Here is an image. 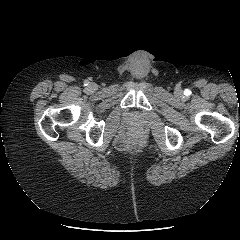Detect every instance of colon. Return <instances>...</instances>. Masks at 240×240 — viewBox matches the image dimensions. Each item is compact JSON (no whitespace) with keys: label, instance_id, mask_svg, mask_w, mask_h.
I'll use <instances>...</instances> for the list:
<instances>
[{"label":"colon","instance_id":"obj_1","mask_svg":"<svg viewBox=\"0 0 240 240\" xmlns=\"http://www.w3.org/2000/svg\"><path fill=\"white\" fill-rule=\"evenodd\" d=\"M139 139L135 136L128 137L121 142V146L125 149H132L137 147Z\"/></svg>","mask_w":240,"mask_h":240}]
</instances>
